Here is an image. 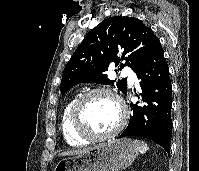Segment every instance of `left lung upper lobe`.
Returning <instances> with one entry per match:
<instances>
[{
    "label": "left lung upper lobe",
    "mask_w": 199,
    "mask_h": 171,
    "mask_svg": "<svg viewBox=\"0 0 199 171\" xmlns=\"http://www.w3.org/2000/svg\"><path fill=\"white\" fill-rule=\"evenodd\" d=\"M158 41L151 28L137 18L117 16L103 20L88 33L65 66L61 94L78 83L112 84L114 81L105 74L111 62L118 65L124 60L121 69L129 66L135 71ZM116 86L127 92L126 80H119Z\"/></svg>",
    "instance_id": "5c2ea615"
}]
</instances>
